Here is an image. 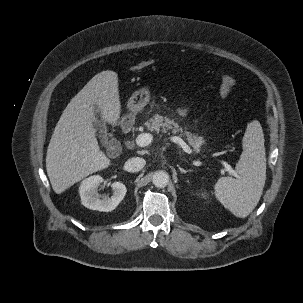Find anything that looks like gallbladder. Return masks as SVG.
Here are the masks:
<instances>
[{
	"label": "gallbladder",
	"mask_w": 303,
	"mask_h": 303,
	"mask_svg": "<svg viewBox=\"0 0 303 303\" xmlns=\"http://www.w3.org/2000/svg\"><path fill=\"white\" fill-rule=\"evenodd\" d=\"M97 118H98V121H97V123H95V126L98 130H100V137L103 139V138L107 137L108 134L105 131V123L101 119L100 111H97Z\"/></svg>",
	"instance_id": "obj_1"
}]
</instances>
